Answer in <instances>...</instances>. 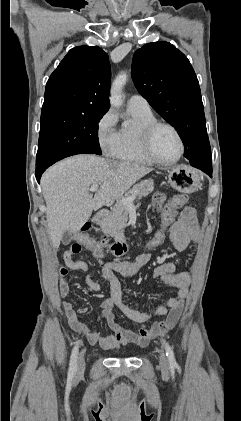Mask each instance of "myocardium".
<instances>
[{
    "label": "myocardium",
    "mask_w": 241,
    "mask_h": 421,
    "mask_svg": "<svg viewBox=\"0 0 241 421\" xmlns=\"http://www.w3.org/2000/svg\"><path fill=\"white\" fill-rule=\"evenodd\" d=\"M161 127H166L169 128L170 130H172L175 135L178 138L179 144H180V152L177 155L176 158L172 159V160H162L160 159L154 152L153 150V137L155 132L161 128ZM141 142H142V147L144 152L146 153V155L154 162L160 165H172L175 164L176 162H178L184 152H185V142L184 139L180 133V131L171 123L168 122H163V121H154L148 125H146L144 127V129L142 130V135H141Z\"/></svg>",
    "instance_id": "obj_1"
}]
</instances>
